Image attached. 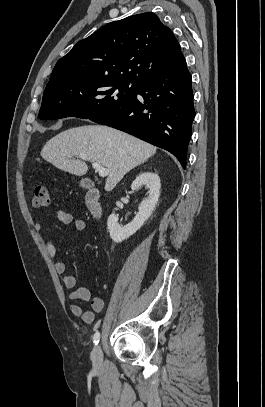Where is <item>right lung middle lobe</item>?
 Here are the masks:
<instances>
[{
    "instance_id": "right-lung-middle-lobe-1",
    "label": "right lung middle lobe",
    "mask_w": 265,
    "mask_h": 407,
    "mask_svg": "<svg viewBox=\"0 0 265 407\" xmlns=\"http://www.w3.org/2000/svg\"><path fill=\"white\" fill-rule=\"evenodd\" d=\"M138 84L109 79H86L47 84L38 117L92 119L133 101Z\"/></svg>"
}]
</instances>
